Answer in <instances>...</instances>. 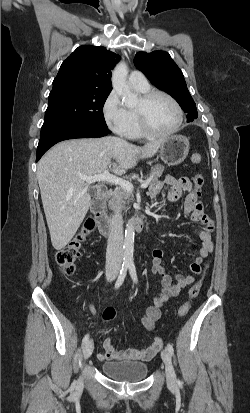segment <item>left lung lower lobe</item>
<instances>
[{
  "label": "left lung lower lobe",
  "instance_id": "left-lung-lower-lobe-1",
  "mask_svg": "<svg viewBox=\"0 0 250 413\" xmlns=\"http://www.w3.org/2000/svg\"><path fill=\"white\" fill-rule=\"evenodd\" d=\"M194 119H196V118L188 119V122H192Z\"/></svg>",
  "mask_w": 250,
  "mask_h": 413
}]
</instances>
